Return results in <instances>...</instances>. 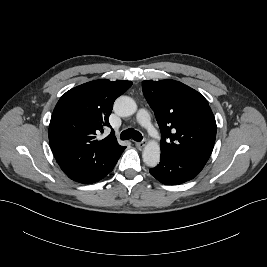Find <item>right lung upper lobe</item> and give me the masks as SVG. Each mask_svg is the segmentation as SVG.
Listing matches in <instances>:
<instances>
[{"label":"right lung upper lobe","mask_w":267,"mask_h":267,"mask_svg":"<svg viewBox=\"0 0 267 267\" xmlns=\"http://www.w3.org/2000/svg\"><path fill=\"white\" fill-rule=\"evenodd\" d=\"M131 85L100 79L74 87L59 99L49 125V142L60 167L97 169L123 149L113 130L102 140L96 135L111 127L113 103Z\"/></svg>","instance_id":"1"}]
</instances>
